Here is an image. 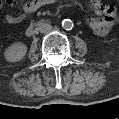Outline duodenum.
Returning <instances> with one entry per match:
<instances>
[{
    "label": "duodenum",
    "mask_w": 119,
    "mask_h": 119,
    "mask_svg": "<svg viewBox=\"0 0 119 119\" xmlns=\"http://www.w3.org/2000/svg\"><path fill=\"white\" fill-rule=\"evenodd\" d=\"M49 21L47 20H40L34 23H31L27 28L26 34L28 36H32L36 34L43 26L47 25Z\"/></svg>",
    "instance_id": "1"
}]
</instances>
